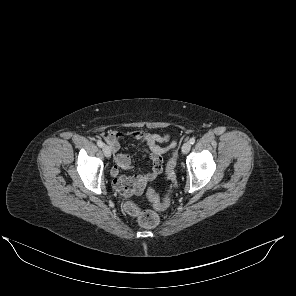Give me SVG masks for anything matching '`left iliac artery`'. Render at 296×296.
<instances>
[{
    "label": "left iliac artery",
    "mask_w": 296,
    "mask_h": 296,
    "mask_svg": "<svg viewBox=\"0 0 296 296\" xmlns=\"http://www.w3.org/2000/svg\"><path fill=\"white\" fill-rule=\"evenodd\" d=\"M189 142H190V144H194L195 143V138L194 137H192L190 140H189Z\"/></svg>",
    "instance_id": "left-iliac-artery-1"
}]
</instances>
